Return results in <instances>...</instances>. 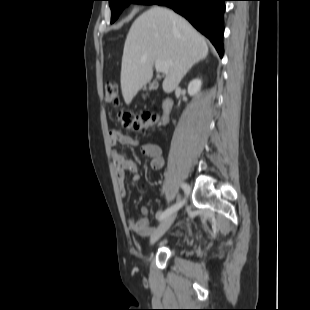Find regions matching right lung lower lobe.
<instances>
[{"label":"right lung lower lobe","mask_w":310,"mask_h":310,"mask_svg":"<svg viewBox=\"0 0 310 310\" xmlns=\"http://www.w3.org/2000/svg\"><path fill=\"white\" fill-rule=\"evenodd\" d=\"M225 1L227 0H154L152 4L168 6L184 16L212 42L222 57Z\"/></svg>","instance_id":"right-lung-lower-lobe-1"}]
</instances>
